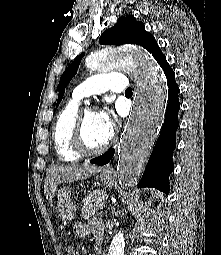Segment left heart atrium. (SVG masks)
Wrapping results in <instances>:
<instances>
[{"instance_id":"39dd6f15","label":"left heart atrium","mask_w":221,"mask_h":255,"mask_svg":"<svg viewBox=\"0 0 221 255\" xmlns=\"http://www.w3.org/2000/svg\"><path fill=\"white\" fill-rule=\"evenodd\" d=\"M99 117L102 121V123L111 130L113 126V118H112V112L110 110H105L99 113Z\"/></svg>"}]
</instances>
